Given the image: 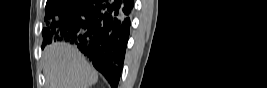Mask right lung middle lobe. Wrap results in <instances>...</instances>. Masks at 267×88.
I'll return each instance as SVG.
<instances>
[{
    "mask_svg": "<svg viewBox=\"0 0 267 88\" xmlns=\"http://www.w3.org/2000/svg\"><path fill=\"white\" fill-rule=\"evenodd\" d=\"M75 0H47L45 20L50 22L55 19L59 13L72 5ZM44 43L49 38L48 32L44 29Z\"/></svg>",
    "mask_w": 267,
    "mask_h": 88,
    "instance_id": "dd1d6c3e",
    "label": "right lung middle lobe"
}]
</instances>
